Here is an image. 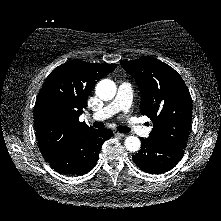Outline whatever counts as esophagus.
Wrapping results in <instances>:
<instances>
[{
  "label": "esophagus",
  "instance_id": "esophagus-1",
  "mask_svg": "<svg viewBox=\"0 0 221 221\" xmlns=\"http://www.w3.org/2000/svg\"><path fill=\"white\" fill-rule=\"evenodd\" d=\"M114 135L118 136V137H122V138L127 136V134H124V133H121V132H118V131H114Z\"/></svg>",
  "mask_w": 221,
  "mask_h": 221
}]
</instances>
